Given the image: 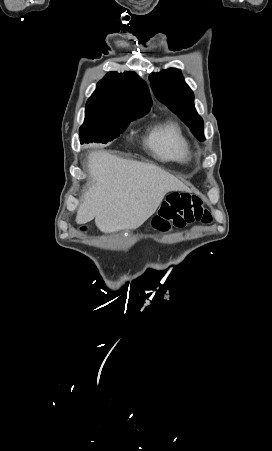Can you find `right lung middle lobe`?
I'll list each match as a JSON object with an SVG mask.
<instances>
[{"mask_svg": "<svg viewBox=\"0 0 272 451\" xmlns=\"http://www.w3.org/2000/svg\"><path fill=\"white\" fill-rule=\"evenodd\" d=\"M150 108L127 110L86 109L85 121L79 129L81 144L107 143L119 137L130 121L142 117Z\"/></svg>", "mask_w": 272, "mask_h": 451, "instance_id": "dd1d6c3e", "label": "right lung middle lobe"}]
</instances>
